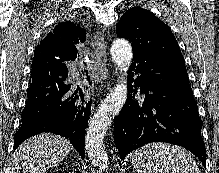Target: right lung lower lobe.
<instances>
[{
  "instance_id": "right-lung-lower-lobe-1",
  "label": "right lung lower lobe",
  "mask_w": 219,
  "mask_h": 173,
  "mask_svg": "<svg viewBox=\"0 0 219 173\" xmlns=\"http://www.w3.org/2000/svg\"><path fill=\"white\" fill-rule=\"evenodd\" d=\"M88 81L89 76H87ZM64 62H43L32 66L28 101L22 112V125L14 136L16 149L27 138L51 132L68 138L84 159V137L90 117L87 93L74 90L68 82Z\"/></svg>"
}]
</instances>
